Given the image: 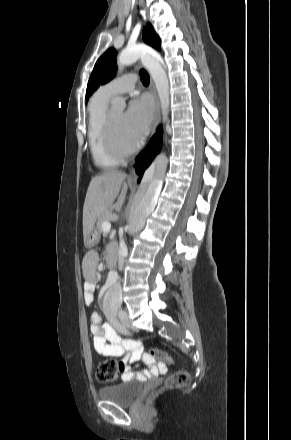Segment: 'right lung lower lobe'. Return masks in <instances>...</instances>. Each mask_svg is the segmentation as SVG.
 Returning a JSON list of instances; mask_svg holds the SVG:
<instances>
[{
	"label": "right lung lower lobe",
	"instance_id": "98d812e1",
	"mask_svg": "<svg viewBox=\"0 0 291 440\" xmlns=\"http://www.w3.org/2000/svg\"><path fill=\"white\" fill-rule=\"evenodd\" d=\"M162 147V127L157 129L156 134L149 141L147 148L137 157L136 169L139 175L151 164ZM140 181V179H139Z\"/></svg>",
	"mask_w": 291,
	"mask_h": 440
}]
</instances>
